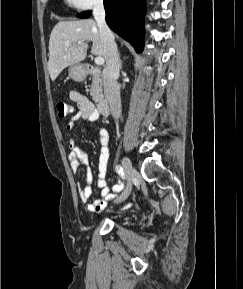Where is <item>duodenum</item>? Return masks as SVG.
<instances>
[{
    "label": "duodenum",
    "instance_id": "obj_1",
    "mask_svg": "<svg viewBox=\"0 0 243 289\" xmlns=\"http://www.w3.org/2000/svg\"><path fill=\"white\" fill-rule=\"evenodd\" d=\"M88 70L92 72L94 69L92 67H89ZM97 110L102 117H107L109 115L110 108L107 101L104 98H98Z\"/></svg>",
    "mask_w": 243,
    "mask_h": 289
}]
</instances>
